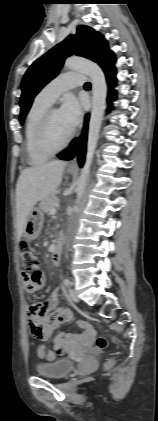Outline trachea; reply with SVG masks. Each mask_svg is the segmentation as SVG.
<instances>
[{
	"label": "trachea",
	"mask_w": 158,
	"mask_h": 421,
	"mask_svg": "<svg viewBox=\"0 0 158 421\" xmlns=\"http://www.w3.org/2000/svg\"><path fill=\"white\" fill-rule=\"evenodd\" d=\"M84 87L85 88H90L91 87V84L89 82H87V83H85Z\"/></svg>",
	"instance_id": "trachea-1"
}]
</instances>
